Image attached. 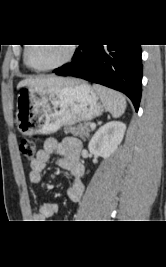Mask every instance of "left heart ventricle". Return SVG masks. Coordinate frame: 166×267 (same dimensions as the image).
I'll return each mask as SVG.
<instances>
[{"label": "left heart ventricle", "mask_w": 166, "mask_h": 267, "mask_svg": "<svg viewBox=\"0 0 166 267\" xmlns=\"http://www.w3.org/2000/svg\"><path fill=\"white\" fill-rule=\"evenodd\" d=\"M66 54L67 47L64 44H34L29 49L28 61L33 67L43 68L59 63Z\"/></svg>", "instance_id": "left-heart-ventricle-1"}]
</instances>
